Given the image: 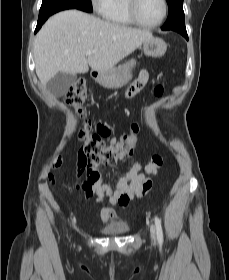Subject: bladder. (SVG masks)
Returning a JSON list of instances; mask_svg holds the SVG:
<instances>
[{
	"mask_svg": "<svg viewBox=\"0 0 229 280\" xmlns=\"http://www.w3.org/2000/svg\"><path fill=\"white\" fill-rule=\"evenodd\" d=\"M130 231V225L127 222H119L109 227L105 233L108 235H122Z\"/></svg>",
	"mask_w": 229,
	"mask_h": 280,
	"instance_id": "bladder-1",
	"label": "bladder"
}]
</instances>
